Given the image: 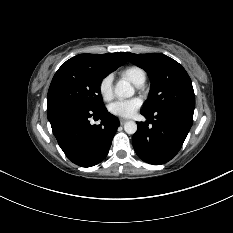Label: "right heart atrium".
I'll list each match as a JSON object with an SVG mask.
<instances>
[{"mask_svg": "<svg viewBox=\"0 0 233 233\" xmlns=\"http://www.w3.org/2000/svg\"><path fill=\"white\" fill-rule=\"evenodd\" d=\"M98 90H99L101 97L105 101H108L112 98V96H113V78H112V75L108 74L100 80L99 85H98Z\"/></svg>", "mask_w": 233, "mask_h": 233, "instance_id": "right-heart-atrium-1", "label": "right heart atrium"}]
</instances>
